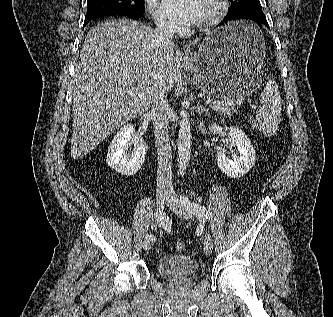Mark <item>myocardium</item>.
<instances>
[{
	"instance_id": "f54148a6",
	"label": "myocardium",
	"mask_w": 333,
	"mask_h": 317,
	"mask_svg": "<svg viewBox=\"0 0 333 317\" xmlns=\"http://www.w3.org/2000/svg\"><path fill=\"white\" fill-rule=\"evenodd\" d=\"M210 2L213 5L212 13L204 22L196 25V30L198 31H209L218 25L228 12L229 5L227 0H210Z\"/></svg>"
}]
</instances>
